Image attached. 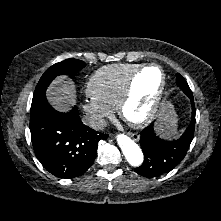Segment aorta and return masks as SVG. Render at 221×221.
<instances>
[{
	"mask_svg": "<svg viewBox=\"0 0 221 221\" xmlns=\"http://www.w3.org/2000/svg\"><path fill=\"white\" fill-rule=\"evenodd\" d=\"M117 142L130 165L139 166L142 164V150L130 137L124 134H119L117 136Z\"/></svg>",
	"mask_w": 221,
	"mask_h": 221,
	"instance_id": "aorta-1",
	"label": "aorta"
}]
</instances>
